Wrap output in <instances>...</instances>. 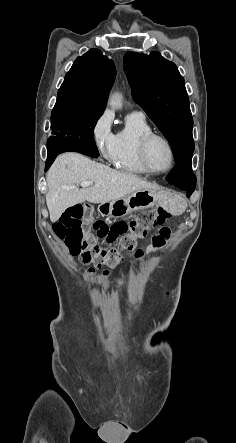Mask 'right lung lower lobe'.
I'll list each match as a JSON object with an SVG mask.
<instances>
[{
  "label": "right lung lower lobe",
  "mask_w": 236,
  "mask_h": 443,
  "mask_svg": "<svg viewBox=\"0 0 236 443\" xmlns=\"http://www.w3.org/2000/svg\"><path fill=\"white\" fill-rule=\"evenodd\" d=\"M47 161L45 166V171L51 166L56 156L62 152L75 151L82 154L88 155L93 158L99 156L98 149L96 145H88L82 142H63L59 139H53L51 145H48Z\"/></svg>",
  "instance_id": "right-lung-lower-lobe-1"
}]
</instances>
